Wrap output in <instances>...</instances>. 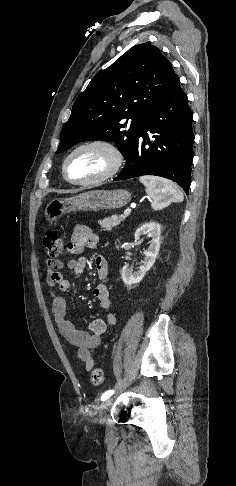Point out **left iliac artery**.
<instances>
[{"mask_svg":"<svg viewBox=\"0 0 236 486\" xmlns=\"http://www.w3.org/2000/svg\"><path fill=\"white\" fill-rule=\"evenodd\" d=\"M113 393H114V390H108V391H106L101 396V400L104 401V400L108 399L111 395H113Z\"/></svg>","mask_w":236,"mask_h":486,"instance_id":"left-iliac-artery-1","label":"left iliac artery"}]
</instances>
